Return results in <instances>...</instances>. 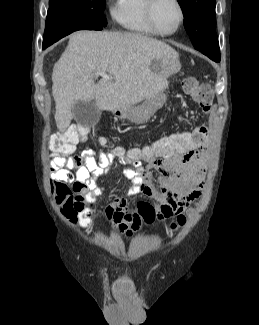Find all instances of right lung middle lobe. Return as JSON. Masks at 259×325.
Returning a JSON list of instances; mask_svg holds the SVG:
<instances>
[{
    "label": "right lung middle lobe",
    "mask_w": 259,
    "mask_h": 325,
    "mask_svg": "<svg viewBox=\"0 0 259 325\" xmlns=\"http://www.w3.org/2000/svg\"><path fill=\"white\" fill-rule=\"evenodd\" d=\"M105 0H49L43 46H50L62 37L81 29L101 30Z\"/></svg>",
    "instance_id": "right-lung-middle-lobe-1"
}]
</instances>
